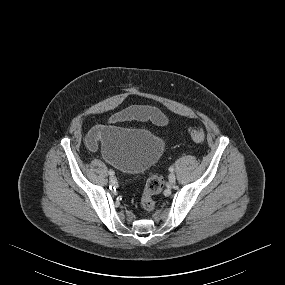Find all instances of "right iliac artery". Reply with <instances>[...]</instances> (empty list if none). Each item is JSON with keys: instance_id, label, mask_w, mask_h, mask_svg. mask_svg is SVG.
<instances>
[{"instance_id": "obj_1", "label": "right iliac artery", "mask_w": 285, "mask_h": 285, "mask_svg": "<svg viewBox=\"0 0 285 285\" xmlns=\"http://www.w3.org/2000/svg\"><path fill=\"white\" fill-rule=\"evenodd\" d=\"M108 173H109V175H114L115 174L113 170H109Z\"/></svg>"}]
</instances>
